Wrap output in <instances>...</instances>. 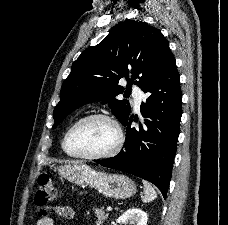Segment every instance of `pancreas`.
I'll use <instances>...</instances> for the list:
<instances>
[{
  "label": "pancreas",
  "instance_id": "obj_1",
  "mask_svg": "<svg viewBox=\"0 0 228 225\" xmlns=\"http://www.w3.org/2000/svg\"><path fill=\"white\" fill-rule=\"evenodd\" d=\"M93 211L97 217L96 225H102L103 221L108 219V213H104L103 209H93Z\"/></svg>",
  "mask_w": 228,
  "mask_h": 225
}]
</instances>
